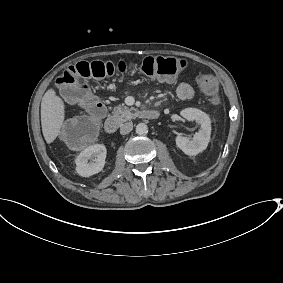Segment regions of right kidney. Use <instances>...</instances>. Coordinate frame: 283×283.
Here are the masks:
<instances>
[{
    "mask_svg": "<svg viewBox=\"0 0 283 283\" xmlns=\"http://www.w3.org/2000/svg\"><path fill=\"white\" fill-rule=\"evenodd\" d=\"M106 153V147L102 144L87 147L75 159L76 172L83 177L100 172L105 165Z\"/></svg>",
    "mask_w": 283,
    "mask_h": 283,
    "instance_id": "ca27d5eb",
    "label": "right kidney"
}]
</instances>
